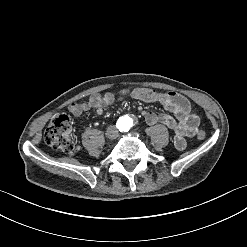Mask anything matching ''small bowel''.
I'll return each mask as SVG.
<instances>
[{
    "label": "small bowel",
    "mask_w": 247,
    "mask_h": 247,
    "mask_svg": "<svg viewBox=\"0 0 247 247\" xmlns=\"http://www.w3.org/2000/svg\"><path fill=\"white\" fill-rule=\"evenodd\" d=\"M124 100L125 96L121 92L116 93L115 96L111 92L103 95L94 94L87 101L71 104L68 109L74 117H79L89 110H94L98 114H102L114 102L121 104ZM155 103H159L173 115L142 110V117L148 125L162 123L173 130L174 146L178 151H183L187 145L186 138L196 134L198 115H191L189 101L175 92L160 93V97ZM188 122L191 123V126Z\"/></svg>",
    "instance_id": "obj_1"
}]
</instances>
